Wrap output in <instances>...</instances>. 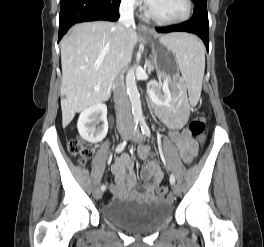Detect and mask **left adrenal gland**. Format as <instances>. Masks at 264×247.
Listing matches in <instances>:
<instances>
[{
    "instance_id": "a2214340",
    "label": "left adrenal gland",
    "mask_w": 264,
    "mask_h": 247,
    "mask_svg": "<svg viewBox=\"0 0 264 247\" xmlns=\"http://www.w3.org/2000/svg\"><path fill=\"white\" fill-rule=\"evenodd\" d=\"M149 69L151 70L152 69V66H149Z\"/></svg>"
}]
</instances>
